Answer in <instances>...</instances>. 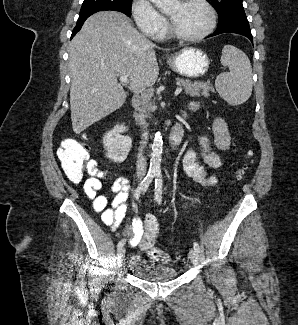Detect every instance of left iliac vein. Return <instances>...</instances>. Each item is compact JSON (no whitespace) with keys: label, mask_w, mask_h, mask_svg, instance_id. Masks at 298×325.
<instances>
[{"label":"left iliac vein","mask_w":298,"mask_h":325,"mask_svg":"<svg viewBox=\"0 0 298 325\" xmlns=\"http://www.w3.org/2000/svg\"><path fill=\"white\" fill-rule=\"evenodd\" d=\"M189 258H190L191 263L194 266H197L199 264V255L195 251V249H190V251H189Z\"/></svg>","instance_id":"left-iliac-vein-1"}]
</instances>
